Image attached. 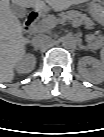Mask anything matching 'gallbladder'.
Segmentation results:
<instances>
[{
    "mask_svg": "<svg viewBox=\"0 0 104 137\" xmlns=\"http://www.w3.org/2000/svg\"><path fill=\"white\" fill-rule=\"evenodd\" d=\"M11 11L16 15L17 17L23 18L27 14V10L24 7L18 6V5H12L10 7Z\"/></svg>",
    "mask_w": 104,
    "mask_h": 137,
    "instance_id": "bac80fb5",
    "label": "gallbladder"
}]
</instances>
